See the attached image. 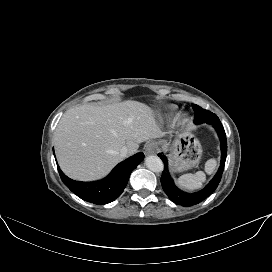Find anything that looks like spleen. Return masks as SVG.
<instances>
[{
  "label": "spleen",
  "instance_id": "obj_1",
  "mask_svg": "<svg viewBox=\"0 0 272 272\" xmlns=\"http://www.w3.org/2000/svg\"><path fill=\"white\" fill-rule=\"evenodd\" d=\"M216 168V160L210 159L205 164V172L212 174ZM206 175L203 171H198L195 174L188 173L180 176L177 183L188 190L200 188L202 183L205 181Z\"/></svg>",
  "mask_w": 272,
  "mask_h": 272
}]
</instances>
